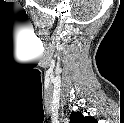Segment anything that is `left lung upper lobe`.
Listing matches in <instances>:
<instances>
[{
  "label": "left lung upper lobe",
  "mask_w": 124,
  "mask_h": 123,
  "mask_svg": "<svg viewBox=\"0 0 124 123\" xmlns=\"http://www.w3.org/2000/svg\"><path fill=\"white\" fill-rule=\"evenodd\" d=\"M97 121L90 116H83L81 112H73L70 115V123H96Z\"/></svg>",
  "instance_id": "obj_1"
}]
</instances>
